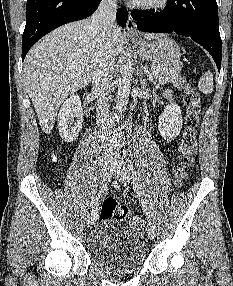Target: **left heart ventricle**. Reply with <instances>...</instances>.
Here are the masks:
<instances>
[{"mask_svg": "<svg viewBox=\"0 0 233 286\" xmlns=\"http://www.w3.org/2000/svg\"><path fill=\"white\" fill-rule=\"evenodd\" d=\"M141 1H152V0H141Z\"/></svg>", "mask_w": 233, "mask_h": 286, "instance_id": "obj_1", "label": "left heart ventricle"}]
</instances>
